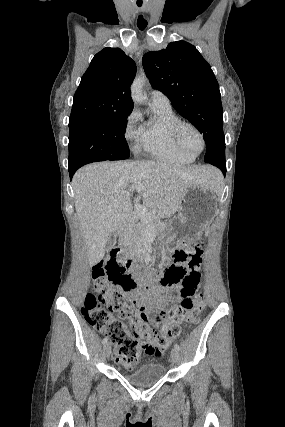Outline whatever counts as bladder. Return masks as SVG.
Listing matches in <instances>:
<instances>
[{
  "mask_svg": "<svg viewBox=\"0 0 285 427\" xmlns=\"http://www.w3.org/2000/svg\"><path fill=\"white\" fill-rule=\"evenodd\" d=\"M123 377L138 387L159 382L165 375V367L160 363L146 364L131 372H122Z\"/></svg>",
  "mask_w": 285,
  "mask_h": 427,
  "instance_id": "bladder-1",
  "label": "bladder"
}]
</instances>
